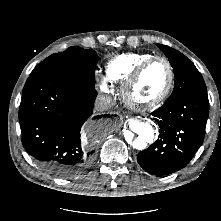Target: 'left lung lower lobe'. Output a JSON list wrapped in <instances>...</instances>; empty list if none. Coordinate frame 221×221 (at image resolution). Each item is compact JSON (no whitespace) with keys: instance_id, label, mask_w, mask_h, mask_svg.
Listing matches in <instances>:
<instances>
[{"instance_id":"0a47b994","label":"left lung lower lobe","mask_w":221,"mask_h":221,"mask_svg":"<svg viewBox=\"0 0 221 221\" xmlns=\"http://www.w3.org/2000/svg\"><path fill=\"white\" fill-rule=\"evenodd\" d=\"M208 114L207 91L167 101L152 112L160 134L156 142L138 153L139 165L158 176L185 167L203 143Z\"/></svg>"}]
</instances>
